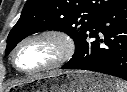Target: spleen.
Wrapping results in <instances>:
<instances>
[{"label": "spleen", "mask_w": 127, "mask_h": 92, "mask_svg": "<svg viewBox=\"0 0 127 92\" xmlns=\"http://www.w3.org/2000/svg\"><path fill=\"white\" fill-rule=\"evenodd\" d=\"M115 91L116 92H127V83L121 80H116Z\"/></svg>", "instance_id": "spleen-1"}]
</instances>
